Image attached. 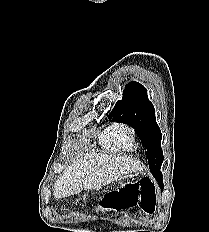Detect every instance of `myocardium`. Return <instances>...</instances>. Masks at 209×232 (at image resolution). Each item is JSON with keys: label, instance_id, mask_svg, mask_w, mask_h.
I'll return each mask as SVG.
<instances>
[{"label": "myocardium", "instance_id": "1", "mask_svg": "<svg viewBox=\"0 0 209 232\" xmlns=\"http://www.w3.org/2000/svg\"><path fill=\"white\" fill-rule=\"evenodd\" d=\"M115 139L119 146L126 151H132L136 148L134 130L127 124H115L114 126ZM125 137H128L133 146L128 147L125 143Z\"/></svg>", "mask_w": 209, "mask_h": 232}]
</instances>
